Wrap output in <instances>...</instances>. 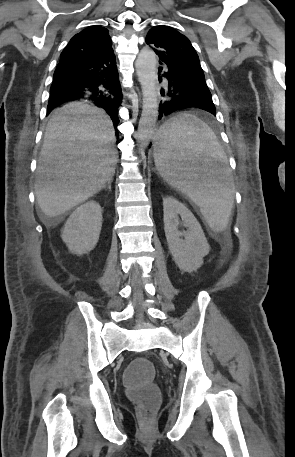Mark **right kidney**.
Wrapping results in <instances>:
<instances>
[{"label": "right kidney", "mask_w": 295, "mask_h": 457, "mask_svg": "<svg viewBox=\"0 0 295 457\" xmlns=\"http://www.w3.org/2000/svg\"><path fill=\"white\" fill-rule=\"evenodd\" d=\"M102 227V209L96 201L78 207L68 218L62 239L73 254L82 255L92 250Z\"/></svg>", "instance_id": "ca27d5eb"}]
</instances>
